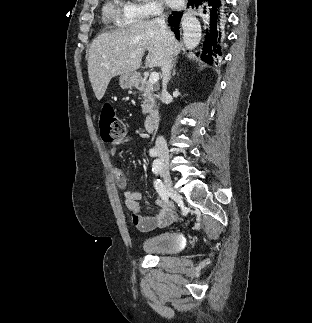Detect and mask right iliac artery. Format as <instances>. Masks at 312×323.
<instances>
[{"label":"right iliac artery","mask_w":312,"mask_h":323,"mask_svg":"<svg viewBox=\"0 0 312 323\" xmlns=\"http://www.w3.org/2000/svg\"><path fill=\"white\" fill-rule=\"evenodd\" d=\"M152 156H155V154H152ZM153 165L159 170L161 167V162L157 159L153 162ZM154 187L158 192L159 196L164 201H168V191L160 179H156L154 181Z\"/></svg>","instance_id":"right-iliac-artery-1"}]
</instances>
